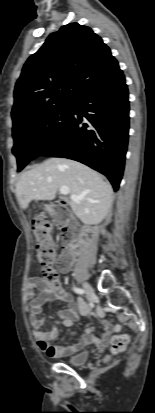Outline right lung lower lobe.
I'll use <instances>...</instances> for the list:
<instances>
[{
    "label": "right lung lower lobe",
    "instance_id": "1",
    "mask_svg": "<svg viewBox=\"0 0 155 413\" xmlns=\"http://www.w3.org/2000/svg\"><path fill=\"white\" fill-rule=\"evenodd\" d=\"M64 131L40 156L65 157L104 174L115 191L122 179L128 145L129 101L118 67L73 103Z\"/></svg>",
    "mask_w": 155,
    "mask_h": 413
}]
</instances>
